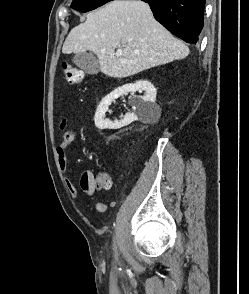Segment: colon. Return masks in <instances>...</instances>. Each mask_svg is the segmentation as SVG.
Wrapping results in <instances>:
<instances>
[{"label": "colon", "instance_id": "1", "mask_svg": "<svg viewBox=\"0 0 249 294\" xmlns=\"http://www.w3.org/2000/svg\"><path fill=\"white\" fill-rule=\"evenodd\" d=\"M61 71L66 81L70 84H79L83 81V72L69 63H63ZM94 183L99 188L109 189L112 186V178L109 174L102 172L94 178Z\"/></svg>", "mask_w": 249, "mask_h": 294}]
</instances>
